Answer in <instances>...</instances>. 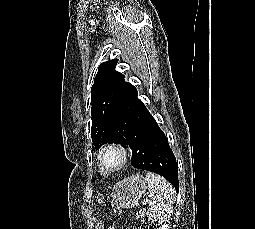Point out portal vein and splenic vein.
<instances>
[{"label":"portal vein and splenic vein","mask_w":255,"mask_h":229,"mask_svg":"<svg viewBox=\"0 0 255 229\" xmlns=\"http://www.w3.org/2000/svg\"><path fill=\"white\" fill-rule=\"evenodd\" d=\"M148 202V200H144L143 205H145Z\"/></svg>","instance_id":"18ae733b"}]
</instances>
